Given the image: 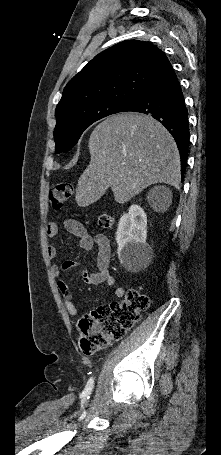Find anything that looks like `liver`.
<instances>
[{"instance_id": "1", "label": "liver", "mask_w": 221, "mask_h": 455, "mask_svg": "<svg viewBox=\"0 0 221 455\" xmlns=\"http://www.w3.org/2000/svg\"><path fill=\"white\" fill-rule=\"evenodd\" d=\"M90 163L78 180L80 207L98 201L110 187L124 204L149 185L180 184V155L166 128L151 116L120 113L107 117L92 131Z\"/></svg>"}]
</instances>
